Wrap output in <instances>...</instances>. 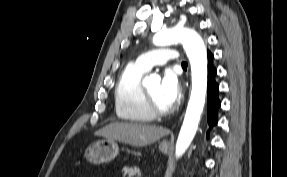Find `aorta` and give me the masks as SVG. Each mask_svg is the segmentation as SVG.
Segmentation results:
<instances>
[{
	"mask_svg": "<svg viewBox=\"0 0 287 177\" xmlns=\"http://www.w3.org/2000/svg\"><path fill=\"white\" fill-rule=\"evenodd\" d=\"M181 42L191 66L192 90L186 114L175 147L176 158L182 157L190 146L203 112L207 92V53L200 35L194 30L182 27L158 32L153 37L156 46H167ZM160 77L152 74L143 80L144 86L159 82Z\"/></svg>",
	"mask_w": 287,
	"mask_h": 177,
	"instance_id": "aorta-1",
	"label": "aorta"
}]
</instances>
